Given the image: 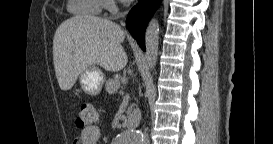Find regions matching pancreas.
Listing matches in <instances>:
<instances>
[{
	"mask_svg": "<svg viewBox=\"0 0 273 144\" xmlns=\"http://www.w3.org/2000/svg\"><path fill=\"white\" fill-rule=\"evenodd\" d=\"M126 78L118 74L114 75L106 81L105 88L109 94H115L121 86V83H125Z\"/></svg>",
	"mask_w": 273,
	"mask_h": 144,
	"instance_id": "obj_1",
	"label": "pancreas"
}]
</instances>
